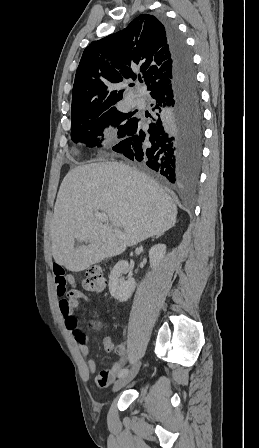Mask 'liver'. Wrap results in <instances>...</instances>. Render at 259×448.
Segmentation results:
<instances>
[{
	"label": "liver",
	"mask_w": 259,
	"mask_h": 448,
	"mask_svg": "<svg viewBox=\"0 0 259 448\" xmlns=\"http://www.w3.org/2000/svg\"><path fill=\"white\" fill-rule=\"evenodd\" d=\"M108 214L102 224L95 212ZM177 206L156 180L123 162L77 166L65 176L50 222L52 256L69 272L88 270L176 224ZM113 228L123 232L115 234ZM75 240L89 246L74 248Z\"/></svg>",
	"instance_id": "obj_1"
}]
</instances>
